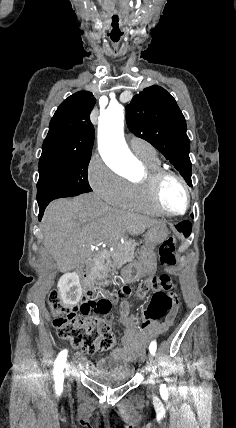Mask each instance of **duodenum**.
<instances>
[{"label":"duodenum","instance_id":"410a0bca","mask_svg":"<svg viewBox=\"0 0 236 428\" xmlns=\"http://www.w3.org/2000/svg\"><path fill=\"white\" fill-rule=\"evenodd\" d=\"M91 260L84 261L78 268V275L82 280L85 288L94 290L95 284L91 274Z\"/></svg>","mask_w":236,"mask_h":428}]
</instances>
